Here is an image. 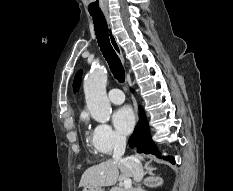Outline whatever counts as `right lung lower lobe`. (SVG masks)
Returning <instances> with one entry per match:
<instances>
[{
	"label": "right lung lower lobe",
	"instance_id": "obj_1",
	"mask_svg": "<svg viewBox=\"0 0 233 191\" xmlns=\"http://www.w3.org/2000/svg\"><path fill=\"white\" fill-rule=\"evenodd\" d=\"M129 144L130 147L137 146L139 153L154 154L157 157L160 155L151 140L148 123L142 110H140L138 126L135 128L134 134L129 138ZM164 158L169 160L171 163H175L173 157Z\"/></svg>",
	"mask_w": 233,
	"mask_h": 191
}]
</instances>
